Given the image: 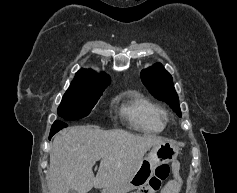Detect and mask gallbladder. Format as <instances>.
Segmentation results:
<instances>
[{
  "instance_id": "obj_1",
  "label": "gallbladder",
  "mask_w": 237,
  "mask_h": 193,
  "mask_svg": "<svg viewBox=\"0 0 237 193\" xmlns=\"http://www.w3.org/2000/svg\"><path fill=\"white\" fill-rule=\"evenodd\" d=\"M68 193H78V192L76 190L71 189L68 191Z\"/></svg>"
}]
</instances>
